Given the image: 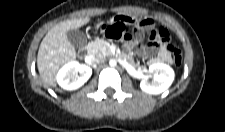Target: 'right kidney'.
Returning a JSON list of instances; mask_svg holds the SVG:
<instances>
[{
	"instance_id": "ca27d5eb",
	"label": "right kidney",
	"mask_w": 225,
	"mask_h": 132,
	"mask_svg": "<svg viewBox=\"0 0 225 132\" xmlns=\"http://www.w3.org/2000/svg\"><path fill=\"white\" fill-rule=\"evenodd\" d=\"M92 75V69L76 61L64 65L57 74L58 84L65 90L80 88Z\"/></svg>"
}]
</instances>
